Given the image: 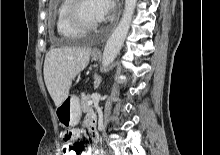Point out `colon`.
Masks as SVG:
<instances>
[{
    "label": "colon",
    "mask_w": 220,
    "mask_h": 155,
    "mask_svg": "<svg viewBox=\"0 0 220 155\" xmlns=\"http://www.w3.org/2000/svg\"><path fill=\"white\" fill-rule=\"evenodd\" d=\"M68 142V146H61L62 155H82L83 147L81 142Z\"/></svg>",
    "instance_id": "5ec220e1"
}]
</instances>
